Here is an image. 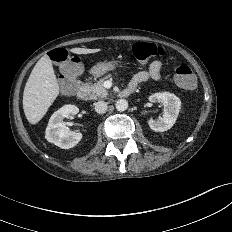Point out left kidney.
I'll use <instances>...</instances> for the list:
<instances>
[{
	"label": "left kidney",
	"mask_w": 232,
	"mask_h": 232,
	"mask_svg": "<svg viewBox=\"0 0 232 232\" xmlns=\"http://www.w3.org/2000/svg\"><path fill=\"white\" fill-rule=\"evenodd\" d=\"M150 102H158L164 105V111L162 117L158 119H149V127L156 132H163L170 129L177 120L180 108L181 101L173 93L169 92H159L152 94L149 97Z\"/></svg>",
	"instance_id": "1"
}]
</instances>
